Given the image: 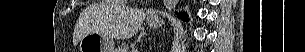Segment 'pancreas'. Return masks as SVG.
Masks as SVG:
<instances>
[{
	"instance_id": "cf45deb5",
	"label": "pancreas",
	"mask_w": 305,
	"mask_h": 52,
	"mask_svg": "<svg viewBox=\"0 0 305 52\" xmlns=\"http://www.w3.org/2000/svg\"><path fill=\"white\" fill-rule=\"evenodd\" d=\"M128 51L129 50H128V47L126 45L118 48V52H128Z\"/></svg>"
}]
</instances>
